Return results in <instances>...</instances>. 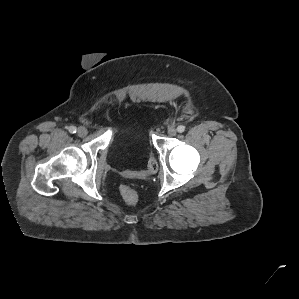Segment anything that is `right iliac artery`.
<instances>
[{"instance_id": "1", "label": "right iliac artery", "mask_w": 299, "mask_h": 299, "mask_svg": "<svg viewBox=\"0 0 299 299\" xmlns=\"http://www.w3.org/2000/svg\"><path fill=\"white\" fill-rule=\"evenodd\" d=\"M76 130H77V129H76L75 126H70V127H69V132L72 133V134H73V133H76Z\"/></svg>"}]
</instances>
